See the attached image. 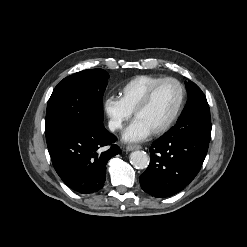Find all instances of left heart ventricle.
I'll return each mask as SVG.
<instances>
[{"label":"left heart ventricle","instance_id":"obj_1","mask_svg":"<svg viewBox=\"0 0 247 247\" xmlns=\"http://www.w3.org/2000/svg\"><path fill=\"white\" fill-rule=\"evenodd\" d=\"M180 99V90L174 83L160 87L147 108L136 119L147 126L151 132L163 126L175 112Z\"/></svg>","mask_w":247,"mask_h":247}]
</instances>
